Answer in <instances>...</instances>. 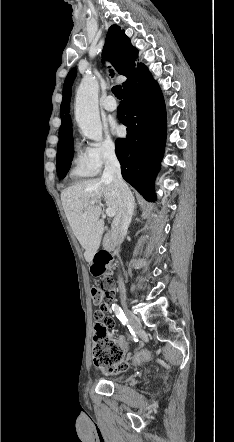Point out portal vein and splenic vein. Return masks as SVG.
I'll list each match as a JSON object with an SVG mask.
<instances>
[{
	"label": "portal vein and splenic vein",
	"mask_w": 234,
	"mask_h": 442,
	"mask_svg": "<svg viewBox=\"0 0 234 442\" xmlns=\"http://www.w3.org/2000/svg\"><path fill=\"white\" fill-rule=\"evenodd\" d=\"M115 210L114 209H112V208H107L106 209V215L107 216H109V217H114L115 216Z\"/></svg>",
	"instance_id": "1"
}]
</instances>
